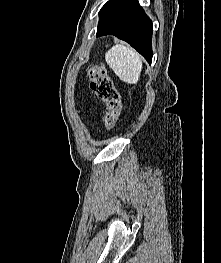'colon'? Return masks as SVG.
Masks as SVG:
<instances>
[{"label":"colon","mask_w":221,"mask_h":263,"mask_svg":"<svg viewBox=\"0 0 221 263\" xmlns=\"http://www.w3.org/2000/svg\"><path fill=\"white\" fill-rule=\"evenodd\" d=\"M90 88L95 95L105 104V127L110 130L117 123L122 111L120 93L105 68L99 64L89 69Z\"/></svg>","instance_id":"1"}]
</instances>
